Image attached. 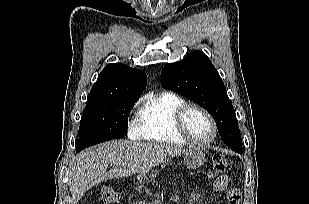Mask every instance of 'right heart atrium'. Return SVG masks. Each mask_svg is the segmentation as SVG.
Masks as SVG:
<instances>
[{
	"label": "right heart atrium",
	"mask_w": 309,
	"mask_h": 204,
	"mask_svg": "<svg viewBox=\"0 0 309 204\" xmlns=\"http://www.w3.org/2000/svg\"><path fill=\"white\" fill-rule=\"evenodd\" d=\"M130 134H131L132 136H138V130H137L136 126H135V127H132V128L130 129Z\"/></svg>",
	"instance_id": "d8ad5b80"
}]
</instances>
